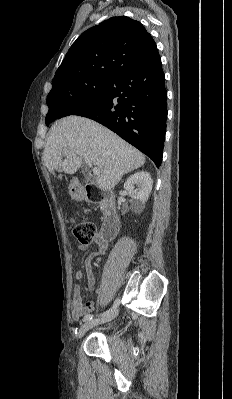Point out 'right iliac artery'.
<instances>
[{"mask_svg":"<svg viewBox=\"0 0 232 399\" xmlns=\"http://www.w3.org/2000/svg\"><path fill=\"white\" fill-rule=\"evenodd\" d=\"M119 304H120V299L117 298V299L114 301V304H113L112 308L109 309V310H106L105 312H103L102 317H106V316H109V315L113 314V312L117 309V307L119 306ZM92 319H93V315H91V314H86V315L84 316V318H83V321H84V322H88V321H90V320H92Z\"/></svg>","mask_w":232,"mask_h":399,"instance_id":"1","label":"right iliac artery"}]
</instances>
